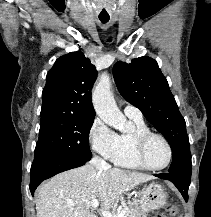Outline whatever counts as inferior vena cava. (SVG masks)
<instances>
[{"label":"inferior vena cava","mask_w":211,"mask_h":217,"mask_svg":"<svg viewBox=\"0 0 211 217\" xmlns=\"http://www.w3.org/2000/svg\"><path fill=\"white\" fill-rule=\"evenodd\" d=\"M90 163L96 168V169H104L106 167L109 166V164L103 160L102 158L100 157H93L90 161Z\"/></svg>","instance_id":"1"}]
</instances>
